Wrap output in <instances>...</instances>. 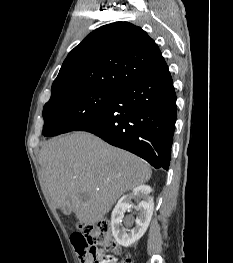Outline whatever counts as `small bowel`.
<instances>
[{
	"mask_svg": "<svg viewBox=\"0 0 233 263\" xmlns=\"http://www.w3.org/2000/svg\"><path fill=\"white\" fill-rule=\"evenodd\" d=\"M106 263H118V259L112 255H110L106 261Z\"/></svg>",
	"mask_w": 233,
	"mask_h": 263,
	"instance_id": "c3829d8e",
	"label": "small bowel"
}]
</instances>
